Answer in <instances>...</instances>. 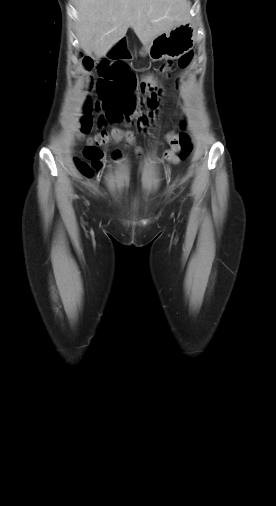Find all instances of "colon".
<instances>
[{
	"instance_id": "5ec220e1",
	"label": "colon",
	"mask_w": 276,
	"mask_h": 506,
	"mask_svg": "<svg viewBox=\"0 0 276 506\" xmlns=\"http://www.w3.org/2000/svg\"><path fill=\"white\" fill-rule=\"evenodd\" d=\"M106 53H108L107 49L104 55L99 57V62L102 65L100 66L101 78L97 83V88L101 100L95 102L88 100L86 102L85 110L87 114L81 119L82 135L89 133L94 125L95 119L90 114L94 109L102 111L96 119L99 126L126 118L144 127L151 123L157 113L158 97L161 91L155 84L143 81L140 89L142 92L148 93V95L146 97H134L136 80L141 78V71L139 69H125L121 66L126 63V60H132L134 56L132 58L119 59L110 57ZM78 57L83 60V66L86 69L92 66L93 57L87 55L85 50H80ZM191 58V52L183 54L178 60L179 66L181 68L188 67ZM109 60L112 64L110 66L107 65ZM145 108L148 111H145ZM112 139L129 145L134 142V135L132 132L121 130H116L112 134L101 131L89 139L87 146L83 150V155L91 163L89 164L79 159L76 160L77 167L83 174L92 176L95 171L102 167L101 159L103 152L101 146L109 143ZM167 140L170 144V149L166 151L165 158L170 164H177L189 157L191 144L186 133H169ZM137 153H140L139 149ZM166 173H169V168L166 169Z\"/></svg>"
}]
</instances>
